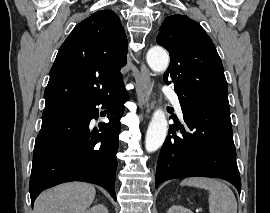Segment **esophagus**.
Segmentation results:
<instances>
[{
    "instance_id": "obj_1",
    "label": "esophagus",
    "mask_w": 270,
    "mask_h": 213,
    "mask_svg": "<svg viewBox=\"0 0 270 213\" xmlns=\"http://www.w3.org/2000/svg\"><path fill=\"white\" fill-rule=\"evenodd\" d=\"M141 74L138 83L137 89V97L139 101L142 102L143 105L149 106L150 105V96L152 91V81H151V74L149 69L146 65L141 62Z\"/></svg>"
}]
</instances>
